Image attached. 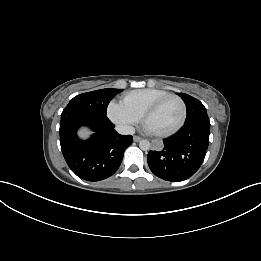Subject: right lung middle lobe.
I'll use <instances>...</instances> for the list:
<instances>
[{
    "label": "right lung middle lobe",
    "mask_w": 261,
    "mask_h": 261,
    "mask_svg": "<svg viewBox=\"0 0 261 261\" xmlns=\"http://www.w3.org/2000/svg\"><path fill=\"white\" fill-rule=\"evenodd\" d=\"M122 89H101L75 96L64 110H81L84 112L106 115V110L111 99Z\"/></svg>",
    "instance_id": "1"
}]
</instances>
